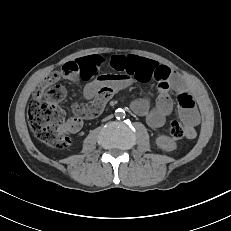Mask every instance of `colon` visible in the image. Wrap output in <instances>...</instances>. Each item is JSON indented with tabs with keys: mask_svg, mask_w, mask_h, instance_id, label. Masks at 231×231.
<instances>
[{
	"mask_svg": "<svg viewBox=\"0 0 231 231\" xmlns=\"http://www.w3.org/2000/svg\"><path fill=\"white\" fill-rule=\"evenodd\" d=\"M72 65L64 70L72 71ZM69 70V71H68ZM67 90L62 85H46L35 95L28 107V122L33 134L49 146L65 149L70 146L71 139L67 135L70 120L65 122V115L59 103L66 97ZM169 132L172 138L181 139L186 134L185 126L174 120Z\"/></svg>",
	"mask_w": 231,
	"mask_h": 231,
	"instance_id": "1",
	"label": "colon"
}]
</instances>
